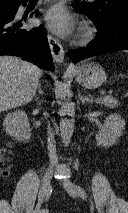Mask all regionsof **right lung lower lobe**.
Returning a JSON list of instances; mask_svg holds the SVG:
<instances>
[{
	"label": "right lung lower lobe",
	"instance_id": "98d812e1",
	"mask_svg": "<svg viewBox=\"0 0 128 213\" xmlns=\"http://www.w3.org/2000/svg\"><path fill=\"white\" fill-rule=\"evenodd\" d=\"M21 3L25 5L26 1ZM19 6L20 4L12 10L0 12V55L23 57L42 69L53 71L54 65L44 29H23V22L15 19Z\"/></svg>",
	"mask_w": 128,
	"mask_h": 213
}]
</instances>
